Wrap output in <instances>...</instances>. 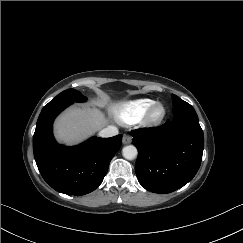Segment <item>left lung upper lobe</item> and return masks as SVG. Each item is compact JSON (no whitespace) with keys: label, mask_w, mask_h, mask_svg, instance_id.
Here are the masks:
<instances>
[{"label":"left lung upper lobe","mask_w":243,"mask_h":243,"mask_svg":"<svg viewBox=\"0 0 243 243\" xmlns=\"http://www.w3.org/2000/svg\"><path fill=\"white\" fill-rule=\"evenodd\" d=\"M173 116H186L198 118L194 108L187 102L181 100L178 96L172 94Z\"/></svg>","instance_id":"obj_1"}]
</instances>
